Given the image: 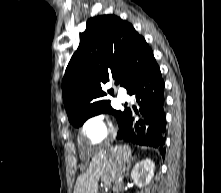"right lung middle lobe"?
<instances>
[{
  "label": "right lung middle lobe",
  "mask_w": 221,
  "mask_h": 193,
  "mask_svg": "<svg viewBox=\"0 0 221 193\" xmlns=\"http://www.w3.org/2000/svg\"><path fill=\"white\" fill-rule=\"evenodd\" d=\"M103 112H108V113L114 114L117 121H118L119 127L121 126L124 116H125V113H126L125 110L124 111H117V110L112 109L109 105H106L105 107H102V108L95 110L91 113L81 115L78 118H75L74 120L71 121V123L76 127L81 126L88 118L95 116V115H99Z\"/></svg>",
  "instance_id": "1"
}]
</instances>
